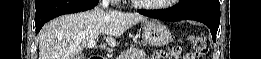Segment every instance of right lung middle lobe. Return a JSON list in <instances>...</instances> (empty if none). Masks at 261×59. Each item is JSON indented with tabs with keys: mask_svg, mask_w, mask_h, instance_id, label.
Wrapping results in <instances>:
<instances>
[{
	"mask_svg": "<svg viewBox=\"0 0 261 59\" xmlns=\"http://www.w3.org/2000/svg\"><path fill=\"white\" fill-rule=\"evenodd\" d=\"M38 2H40V0H36V2H35V3H38Z\"/></svg>",
	"mask_w": 261,
	"mask_h": 59,
	"instance_id": "obj_1",
	"label": "right lung middle lobe"
}]
</instances>
